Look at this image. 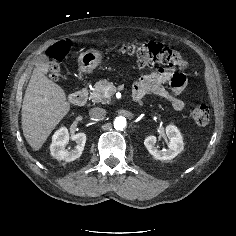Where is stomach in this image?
<instances>
[{
	"label": "stomach",
	"mask_w": 236,
	"mask_h": 236,
	"mask_svg": "<svg viewBox=\"0 0 236 236\" xmlns=\"http://www.w3.org/2000/svg\"><path fill=\"white\" fill-rule=\"evenodd\" d=\"M102 53L97 50H87L78 57L79 71L90 74L101 63Z\"/></svg>",
	"instance_id": "stomach-1"
}]
</instances>
